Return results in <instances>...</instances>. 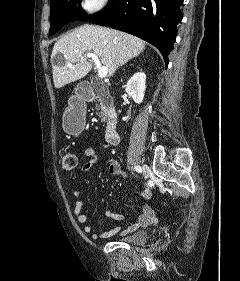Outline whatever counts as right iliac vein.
I'll use <instances>...</instances> for the list:
<instances>
[{"instance_id": "obj_1", "label": "right iliac vein", "mask_w": 240, "mask_h": 281, "mask_svg": "<svg viewBox=\"0 0 240 281\" xmlns=\"http://www.w3.org/2000/svg\"><path fill=\"white\" fill-rule=\"evenodd\" d=\"M143 175L147 179L150 175V169L147 165H143Z\"/></svg>"}]
</instances>
